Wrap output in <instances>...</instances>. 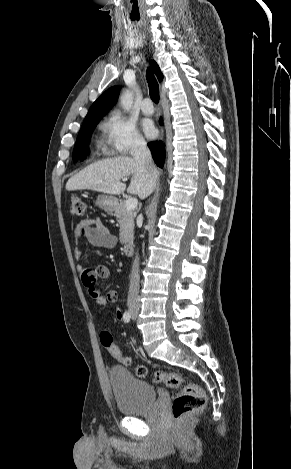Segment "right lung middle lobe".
Returning a JSON list of instances; mask_svg holds the SVG:
<instances>
[{"instance_id": "obj_1", "label": "right lung middle lobe", "mask_w": 291, "mask_h": 469, "mask_svg": "<svg viewBox=\"0 0 291 469\" xmlns=\"http://www.w3.org/2000/svg\"><path fill=\"white\" fill-rule=\"evenodd\" d=\"M100 120L101 118L84 120L82 127L80 129V132L78 134L75 147H74V151H73V160L75 162L77 160L83 161L86 159L89 153L88 144H89L91 134Z\"/></svg>"}]
</instances>
